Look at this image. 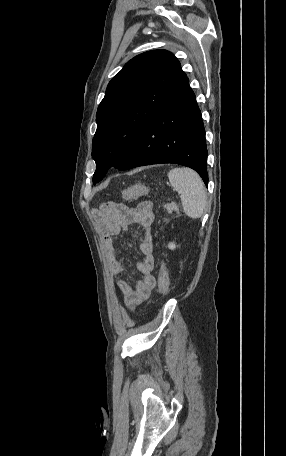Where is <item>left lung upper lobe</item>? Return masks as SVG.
Instances as JSON below:
<instances>
[{
    "label": "left lung upper lobe",
    "instance_id": "1",
    "mask_svg": "<svg viewBox=\"0 0 286 456\" xmlns=\"http://www.w3.org/2000/svg\"><path fill=\"white\" fill-rule=\"evenodd\" d=\"M186 78L180 62L167 50L137 55L112 78L96 114L93 184L111 167H120L140 133Z\"/></svg>",
    "mask_w": 286,
    "mask_h": 456
}]
</instances>
